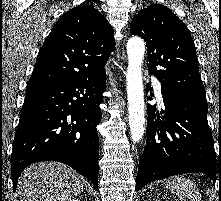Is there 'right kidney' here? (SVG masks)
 Instances as JSON below:
<instances>
[{
  "mask_svg": "<svg viewBox=\"0 0 221 201\" xmlns=\"http://www.w3.org/2000/svg\"><path fill=\"white\" fill-rule=\"evenodd\" d=\"M69 201H79V200H75V199H70Z\"/></svg>",
  "mask_w": 221,
  "mask_h": 201,
  "instance_id": "right-kidney-1",
  "label": "right kidney"
}]
</instances>
